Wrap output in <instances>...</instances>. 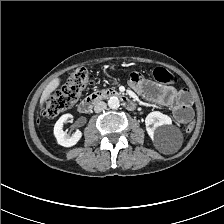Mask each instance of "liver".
<instances>
[{
  "label": "liver",
  "instance_id": "obj_1",
  "mask_svg": "<svg viewBox=\"0 0 224 224\" xmlns=\"http://www.w3.org/2000/svg\"><path fill=\"white\" fill-rule=\"evenodd\" d=\"M59 85H60V79L55 78L46 86L41 97V104H43L47 100L50 93H52Z\"/></svg>",
  "mask_w": 224,
  "mask_h": 224
}]
</instances>
